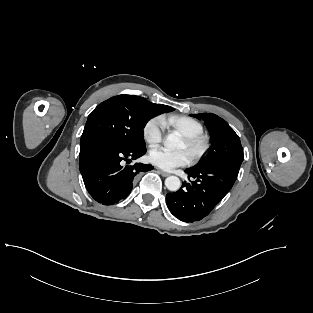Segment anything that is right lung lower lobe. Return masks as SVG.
Returning a JSON list of instances; mask_svg holds the SVG:
<instances>
[{
  "mask_svg": "<svg viewBox=\"0 0 313 313\" xmlns=\"http://www.w3.org/2000/svg\"><path fill=\"white\" fill-rule=\"evenodd\" d=\"M146 153L145 146L129 147L112 139L97 137L80 144L79 168L89 194L99 203L112 205L125 199L140 172L150 164H129Z\"/></svg>",
  "mask_w": 313,
  "mask_h": 313,
  "instance_id": "right-lung-lower-lobe-1",
  "label": "right lung lower lobe"
}]
</instances>
